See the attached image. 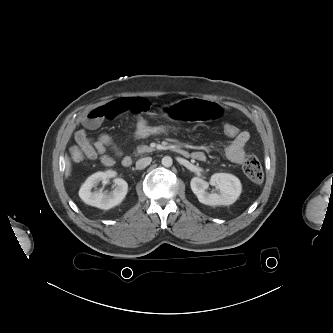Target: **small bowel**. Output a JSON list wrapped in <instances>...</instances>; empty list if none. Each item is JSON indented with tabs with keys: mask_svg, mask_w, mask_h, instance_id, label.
I'll use <instances>...</instances> for the list:
<instances>
[{
	"mask_svg": "<svg viewBox=\"0 0 333 333\" xmlns=\"http://www.w3.org/2000/svg\"><path fill=\"white\" fill-rule=\"evenodd\" d=\"M151 103L142 98H119L98 106L87 113L82 121V128L75 134L78 148L89 160L99 159L104 166H112L114 159L106 153V149H112L115 156H121V150L114 144L112 138L107 134L100 135L92 142L87 131L97 129L105 119H113L124 113H132L136 122L145 121L141 114L147 112ZM249 133L240 132L231 143L225 148L226 158L235 163L242 164L245 159V147L249 141ZM192 156L204 161L206 156L203 152L197 151Z\"/></svg>",
	"mask_w": 333,
	"mask_h": 333,
	"instance_id": "c3829d8e",
	"label": "small bowel"
}]
</instances>
